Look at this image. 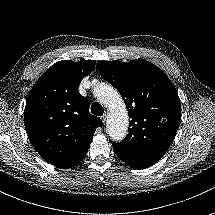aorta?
<instances>
[{"label":"aorta","instance_id":"aorta-1","mask_svg":"<svg viewBox=\"0 0 215 215\" xmlns=\"http://www.w3.org/2000/svg\"><path fill=\"white\" fill-rule=\"evenodd\" d=\"M95 97L106 104L110 114L108 132L113 140H122L127 135L129 116L119 92L110 84L100 83L94 89Z\"/></svg>","mask_w":215,"mask_h":215}]
</instances>
